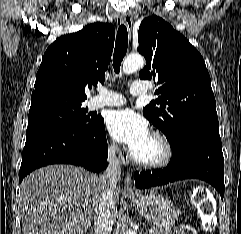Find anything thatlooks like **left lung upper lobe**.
Here are the masks:
<instances>
[{"instance_id": "left-lung-upper-lobe-1", "label": "left lung upper lobe", "mask_w": 241, "mask_h": 234, "mask_svg": "<svg viewBox=\"0 0 241 234\" xmlns=\"http://www.w3.org/2000/svg\"><path fill=\"white\" fill-rule=\"evenodd\" d=\"M138 41V51L146 59L139 77L156 79L159 95L143 115L165 134L172 150L191 135L219 137L216 101L201 54L154 15L142 21Z\"/></svg>"}]
</instances>
